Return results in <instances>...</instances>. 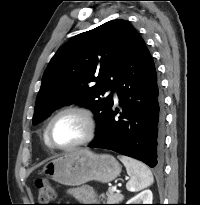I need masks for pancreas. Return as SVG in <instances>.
<instances>
[{
    "label": "pancreas",
    "instance_id": "cf45deb5",
    "mask_svg": "<svg viewBox=\"0 0 200 205\" xmlns=\"http://www.w3.org/2000/svg\"><path fill=\"white\" fill-rule=\"evenodd\" d=\"M107 196V204H118L120 201L123 200L124 196L120 193H114L112 189H109L106 192ZM100 197L105 198L104 194H101Z\"/></svg>",
    "mask_w": 200,
    "mask_h": 205
}]
</instances>
